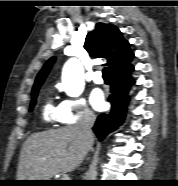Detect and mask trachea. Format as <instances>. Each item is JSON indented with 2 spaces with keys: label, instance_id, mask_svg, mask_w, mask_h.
Masks as SVG:
<instances>
[{
  "label": "trachea",
  "instance_id": "1",
  "mask_svg": "<svg viewBox=\"0 0 178 186\" xmlns=\"http://www.w3.org/2000/svg\"><path fill=\"white\" fill-rule=\"evenodd\" d=\"M102 74H103V78H108V72H107V68L106 67L103 68Z\"/></svg>",
  "mask_w": 178,
  "mask_h": 186
}]
</instances>
